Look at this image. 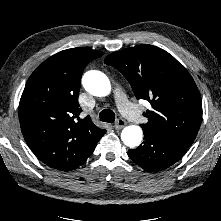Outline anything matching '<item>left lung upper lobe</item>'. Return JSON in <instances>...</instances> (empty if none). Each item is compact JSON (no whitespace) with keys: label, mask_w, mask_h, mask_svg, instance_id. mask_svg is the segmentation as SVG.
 Here are the masks:
<instances>
[{"label":"left lung upper lobe","mask_w":221,"mask_h":221,"mask_svg":"<svg viewBox=\"0 0 221 221\" xmlns=\"http://www.w3.org/2000/svg\"><path fill=\"white\" fill-rule=\"evenodd\" d=\"M118 69L137 99L150 102L148 132L185 147L194 142L202 121L198 88L185 67L168 52L139 45L109 54L104 61Z\"/></svg>","instance_id":"5c2ea615"}]
</instances>
